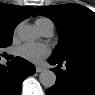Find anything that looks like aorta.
<instances>
[{
	"label": "aorta",
	"instance_id": "762f6f07",
	"mask_svg": "<svg viewBox=\"0 0 95 95\" xmlns=\"http://www.w3.org/2000/svg\"><path fill=\"white\" fill-rule=\"evenodd\" d=\"M19 36L25 41H32L38 37L36 30L30 25L21 27ZM39 81L44 87L50 88L56 82V75L51 70H44L39 75Z\"/></svg>",
	"mask_w": 95,
	"mask_h": 95
}]
</instances>
